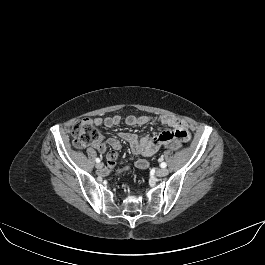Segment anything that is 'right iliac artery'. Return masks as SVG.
<instances>
[{"mask_svg": "<svg viewBox=\"0 0 265 265\" xmlns=\"http://www.w3.org/2000/svg\"><path fill=\"white\" fill-rule=\"evenodd\" d=\"M96 162L99 163L100 162V159L99 158H96Z\"/></svg>", "mask_w": 265, "mask_h": 265, "instance_id": "obj_1", "label": "right iliac artery"}]
</instances>
